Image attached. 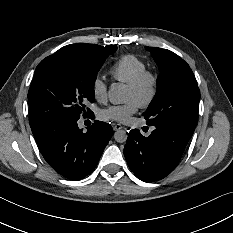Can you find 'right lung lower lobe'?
Instances as JSON below:
<instances>
[{"label":"right lung lower lobe","instance_id":"obj_1","mask_svg":"<svg viewBox=\"0 0 233 233\" xmlns=\"http://www.w3.org/2000/svg\"><path fill=\"white\" fill-rule=\"evenodd\" d=\"M84 117L92 119L94 114L90 112ZM78 120L57 119L31 127L48 164L71 180H80L94 170L113 135L110 124L97 120L83 132L78 127Z\"/></svg>","mask_w":233,"mask_h":233}]
</instances>
